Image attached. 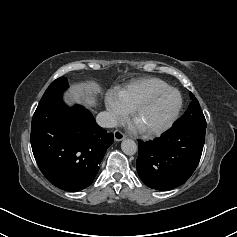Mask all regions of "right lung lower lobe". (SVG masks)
I'll list each match as a JSON object with an SVG mask.
<instances>
[{
  "mask_svg": "<svg viewBox=\"0 0 237 237\" xmlns=\"http://www.w3.org/2000/svg\"><path fill=\"white\" fill-rule=\"evenodd\" d=\"M67 88V79L61 77L45 91L33 115L31 146L47 180L76 192L91 184L114 136L83 107L65 105L62 93Z\"/></svg>",
  "mask_w": 237,
  "mask_h": 237,
  "instance_id": "right-lung-lower-lobe-1",
  "label": "right lung lower lobe"
}]
</instances>
